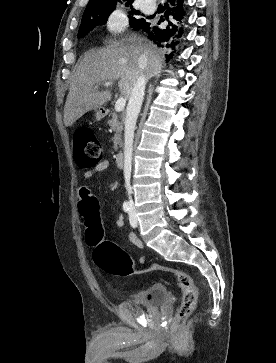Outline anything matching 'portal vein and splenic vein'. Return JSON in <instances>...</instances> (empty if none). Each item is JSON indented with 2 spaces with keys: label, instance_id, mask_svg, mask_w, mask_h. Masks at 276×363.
I'll return each instance as SVG.
<instances>
[{
  "label": "portal vein and splenic vein",
  "instance_id": "1",
  "mask_svg": "<svg viewBox=\"0 0 276 363\" xmlns=\"http://www.w3.org/2000/svg\"><path fill=\"white\" fill-rule=\"evenodd\" d=\"M112 84H113V82H105L103 85H104V87H109V86H111ZM125 105H126V99H125V98H123V97H120V98L116 101V103H115V110H116L117 112H121V111H123V110H124Z\"/></svg>",
  "mask_w": 276,
  "mask_h": 363
}]
</instances>
